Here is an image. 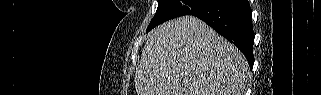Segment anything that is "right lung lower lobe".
<instances>
[{"label":"right lung lower lobe","instance_id":"right-lung-lower-lobe-1","mask_svg":"<svg viewBox=\"0 0 321 95\" xmlns=\"http://www.w3.org/2000/svg\"><path fill=\"white\" fill-rule=\"evenodd\" d=\"M190 15L196 16L232 42L254 64L252 13L248 0H210Z\"/></svg>","mask_w":321,"mask_h":95}]
</instances>
